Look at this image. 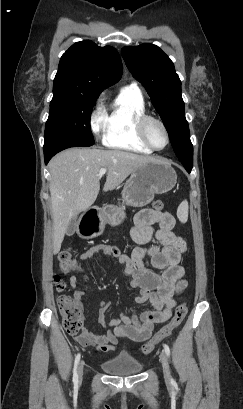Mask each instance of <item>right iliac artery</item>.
<instances>
[{
	"label": "right iliac artery",
	"instance_id": "82829eb1",
	"mask_svg": "<svg viewBox=\"0 0 243 409\" xmlns=\"http://www.w3.org/2000/svg\"><path fill=\"white\" fill-rule=\"evenodd\" d=\"M80 353H78L75 357L74 361V369H73V383L76 385L78 383V373H77V367L80 361Z\"/></svg>",
	"mask_w": 243,
	"mask_h": 409
}]
</instances>
